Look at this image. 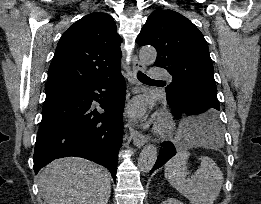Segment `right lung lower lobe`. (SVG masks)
Wrapping results in <instances>:
<instances>
[{
    "label": "right lung lower lobe",
    "mask_w": 261,
    "mask_h": 204,
    "mask_svg": "<svg viewBox=\"0 0 261 204\" xmlns=\"http://www.w3.org/2000/svg\"><path fill=\"white\" fill-rule=\"evenodd\" d=\"M125 90L119 70L88 84L46 94L33 156L35 173L54 159L78 156L105 166L116 181L123 133L116 114L123 110ZM93 101L105 113L93 110Z\"/></svg>",
    "instance_id": "right-lung-lower-lobe-1"
}]
</instances>
